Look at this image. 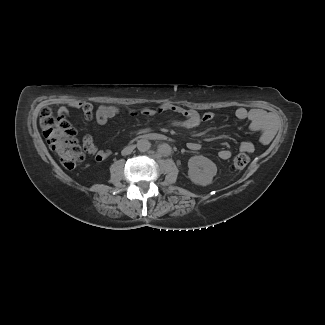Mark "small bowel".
Wrapping results in <instances>:
<instances>
[{
    "label": "small bowel",
    "mask_w": 325,
    "mask_h": 325,
    "mask_svg": "<svg viewBox=\"0 0 325 325\" xmlns=\"http://www.w3.org/2000/svg\"><path fill=\"white\" fill-rule=\"evenodd\" d=\"M71 109L82 110L87 120H91L95 114L96 121L99 125H105L111 118L118 114V109L111 105H101L94 113L93 106L88 102H75L70 104L68 107H61L56 112L57 116L55 117V120L67 133L72 134L73 136H77L80 133V130L76 126H73L71 119L66 116ZM165 111L183 116V119H174L169 122L170 126L182 129L197 128L204 123L212 121L214 118L212 112L202 114L195 109L186 108L172 103H163L156 110L146 108L143 113L147 116H154L157 113ZM235 116L239 120H248L251 129L261 133L260 141L262 143H267L273 136L274 128L272 118L263 110L239 107L235 111ZM83 146L86 152L98 162L106 160L111 155L110 149H98L90 135L84 136ZM187 147L190 150L197 151L201 148V145L197 141H190L187 144ZM239 150L245 153H252L255 150V145L252 142L245 141L239 145ZM219 157L223 160H227L231 157V151L228 149H222L219 152Z\"/></svg>",
    "instance_id": "obj_1"
}]
</instances>
